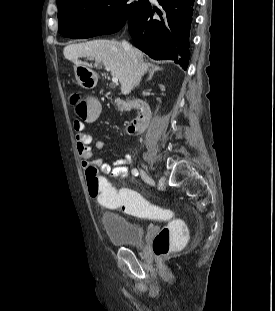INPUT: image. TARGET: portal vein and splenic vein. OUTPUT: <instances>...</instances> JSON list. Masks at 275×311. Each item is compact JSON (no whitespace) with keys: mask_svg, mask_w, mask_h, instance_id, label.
Returning <instances> with one entry per match:
<instances>
[{"mask_svg":"<svg viewBox=\"0 0 275 311\" xmlns=\"http://www.w3.org/2000/svg\"><path fill=\"white\" fill-rule=\"evenodd\" d=\"M107 70L109 71V69H107ZM112 82L117 84L118 83V78L117 77H112Z\"/></svg>","mask_w":275,"mask_h":311,"instance_id":"obj_1","label":"portal vein and splenic vein"}]
</instances>
